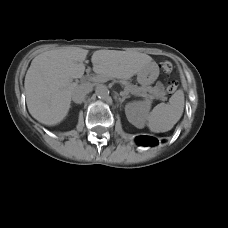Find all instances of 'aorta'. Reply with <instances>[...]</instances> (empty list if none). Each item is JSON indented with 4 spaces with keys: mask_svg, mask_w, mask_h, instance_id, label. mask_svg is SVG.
I'll list each match as a JSON object with an SVG mask.
<instances>
[{
    "mask_svg": "<svg viewBox=\"0 0 228 228\" xmlns=\"http://www.w3.org/2000/svg\"><path fill=\"white\" fill-rule=\"evenodd\" d=\"M95 93L100 100H107L109 98V90L104 85L96 86Z\"/></svg>",
    "mask_w": 228,
    "mask_h": 228,
    "instance_id": "aorta-1",
    "label": "aorta"
}]
</instances>
